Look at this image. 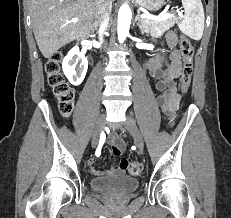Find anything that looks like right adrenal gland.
<instances>
[{"label":"right adrenal gland","mask_w":231,"mask_h":218,"mask_svg":"<svg viewBox=\"0 0 231 218\" xmlns=\"http://www.w3.org/2000/svg\"><path fill=\"white\" fill-rule=\"evenodd\" d=\"M97 26H98V23H97V22H95V23H94V27L96 28Z\"/></svg>","instance_id":"2a0ac1e0"}]
</instances>
